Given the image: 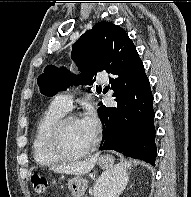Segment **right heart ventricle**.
<instances>
[{
    "instance_id": "1",
    "label": "right heart ventricle",
    "mask_w": 191,
    "mask_h": 197,
    "mask_svg": "<svg viewBox=\"0 0 191 197\" xmlns=\"http://www.w3.org/2000/svg\"><path fill=\"white\" fill-rule=\"evenodd\" d=\"M64 114L65 111L52 102L38 119L32 141L33 158L38 165L51 166L61 161L49 150L47 134L51 126Z\"/></svg>"
}]
</instances>
